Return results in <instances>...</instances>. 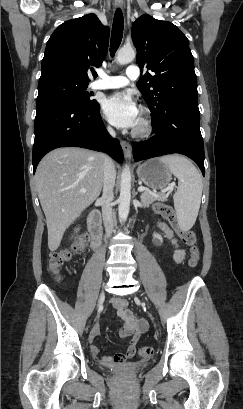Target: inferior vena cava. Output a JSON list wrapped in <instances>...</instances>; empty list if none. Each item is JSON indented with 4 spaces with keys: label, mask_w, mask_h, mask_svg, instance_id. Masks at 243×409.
Instances as JSON below:
<instances>
[{
    "label": "inferior vena cava",
    "mask_w": 243,
    "mask_h": 409,
    "mask_svg": "<svg viewBox=\"0 0 243 409\" xmlns=\"http://www.w3.org/2000/svg\"><path fill=\"white\" fill-rule=\"evenodd\" d=\"M108 131L112 137L116 136V133L112 128L109 127ZM103 168V194L100 200L104 227L106 234L109 237L114 230L112 219V201L114 199L113 188L116 178L114 163L109 156L104 157Z\"/></svg>",
    "instance_id": "602c4592"
}]
</instances>
